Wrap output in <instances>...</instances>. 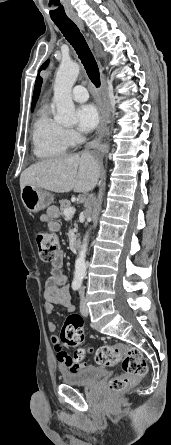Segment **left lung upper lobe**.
I'll list each match as a JSON object with an SVG mask.
<instances>
[{"label": "left lung upper lobe", "mask_w": 171, "mask_h": 445, "mask_svg": "<svg viewBox=\"0 0 171 445\" xmlns=\"http://www.w3.org/2000/svg\"><path fill=\"white\" fill-rule=\"evenodd\" d=\"M47 65H48V61H46V62L41 66L40 70L45 69V68L47 67ZM41 85H42V78H41L40 75L38 74V75H37V78H36V82H35V87H34V93H33V99H32L31 110H33V108H34V106H35V104H36V102H37V100H38V97H39V94H40V90H41Z\"/></svg>", "instance_id": "5c2ea615"}]
</instances>
